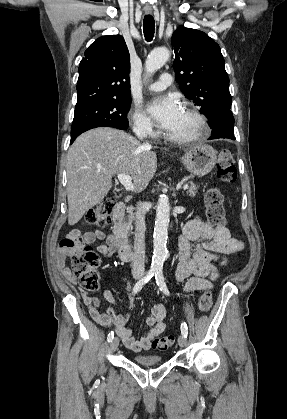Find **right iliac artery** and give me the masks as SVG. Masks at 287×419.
<instances>
[{"label": "right iliac artery", "instance_id": "1", "mask_svg": "<svg viewBox=\"0 0 287 419\" xmlns=\"http://www.w3.org/2000/svg\"><path fill=\"white\" fill-rule=\"evenodd\" d=\"M156 273L155 270H149L144 277H142L134 286L133 288V294L138 293L142 287L154 276V274ZM114 338V332L111 331L108 336H107V341L111 342L112 339Z\"/></svg>", "mask_w": 287, "mask_h": 419}]
</instances>
